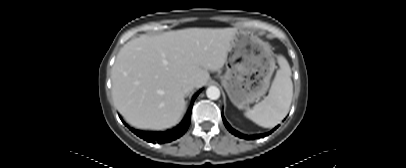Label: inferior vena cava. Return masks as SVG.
<instances>
[{
    "instance_id": "1",
    "label": "inferior vena cava",
    "mask_w": 406,
    "mask_h": 168,
    "mask_svg": "<svg viewBox=\"0 0 406 168\" xmlns=\"http://www.w3.org/2000/svg\"><path fill=\"white\" fill-rule=\"evenodd\" d=\"M195 85L193 81H187L185 82V84L183 85V92L184 94H188L189 92H191L194 89Z\"/></svg>"
}]
</instances>
